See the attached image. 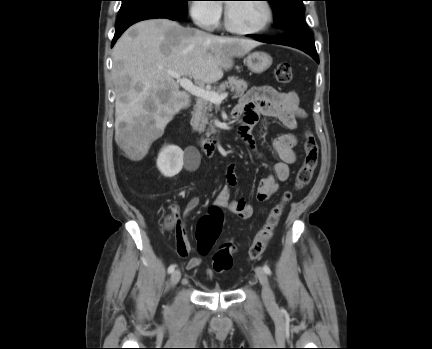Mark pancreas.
<instances>
[{"label":"pancreas","mask_w":432,"mask_h":349,"mask_svg":"<svg viewBox=\"0 0 432 349\" xmlns=\"http://www.w3.org/2000/svg\"><path fill=\"white\" fill-rule=\"evenodd\" d=\"M226 88H230L234 93L233 98H238L244 94V92L248 88V84L243 79H239L238 77L231 76L228 77L227 81H224L219 85V87L214 90V92L221 94L225 91ZM213 109V104L211 101L206 100L204 98H197L196 104L193 109V127L199 132H203L206 130V126L208 128L206 130V135L210 136L211 134L216 133V128L213 123V114L211 113Z\"/></svg>","instance_id":"1"}]
</instances>
